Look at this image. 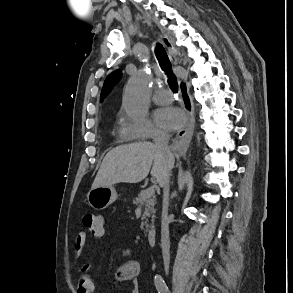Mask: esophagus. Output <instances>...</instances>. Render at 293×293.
<instances>
[{"instance_id": "34e87169", "label": "esophagus", "mask_w": 293, "mask_h": 293, "mask_svg": "<svg viewBox=\"0 0 293 293\" xmlns=\"http://www.w3.org/2000/svg\"><path fill=\"white\" fill-rule=\"evenodd\" d=\"M169 56H170V59H171L174 63H176V57H175V55L173 54V52L170 51V50H169Z\"/></svg>"}]
</instances>
